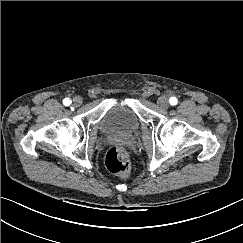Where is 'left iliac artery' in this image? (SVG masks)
Listing matches in <instances>:
<instances>
[{
  "instance_id": "obj_1",
  "label": "left iliac artery",
  "mask_w": 243,
  "mask_h": 243,
  "mask_svg": "<svg viewBox=\"0 0 243 243\" xmlns=\"http://www.w3.org/2000/svg\"><path fill=\"white\" fill-rule=\"evenodd\" d=\"M169 103L174 106V105H176L178 103V100H177L176 97H171L169 99Z\"/></svg>"
}]
</instances>
